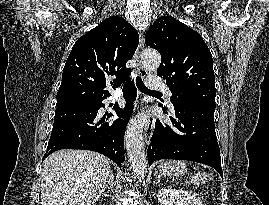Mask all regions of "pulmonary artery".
I'll list each match as a JSON object with an SVG mask.
<instances>
[{
    "label": "pulmonary artery",
    "instance_id": "pulmonary-artery-1",
    "mask_svg": "<svg viewBox=\"0 0 269 205\" xmlns=\"http://www.w3.org/2000/svg\"><path fill=\"white\" fill-rule=\"evenodd\" d=\"M146 84L150 89L165 91L168 96L172 95L160 77L150 75L146 78Z\"/></svg>",
    "mask_w": 269,
    "mask_h": 205
}]
</instances>
